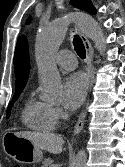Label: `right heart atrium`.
<instances>
[{
  "mask_svg": "<svg viewBox=\"0 0 125 167\" xmlns=\"http://www.w3.org/2000/svg\"><path fill=\"white\" fill-rule=\"evenodd\" d=\"M50 110H51V116L54 122L58 123L59 121H61V119L63 118L62 110L57 106H51Z\"/></svg>",
  "mask_w": 125,
  "mask_h": 167,
  "instance_id": "obj_1",
  "label": "right heart atrium"
}]
</instances>
